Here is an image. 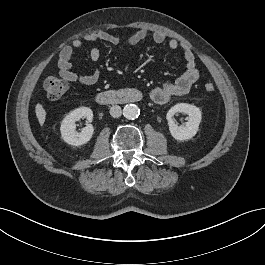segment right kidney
Returning <instances> with one entry per match:
<instances>
[{
	"mask_svg": "<svg viewBox=\"0 0 265 265\" xmlns=\"http://www.w3.org/2000/svg\"><path fill=\"white\" fill-rule=\"evenodd\" d=\"M87 118L89 122L93 119V112L88 107H79L68 113L61 122L60 132L62 139L69 145L80 146L86 144L92 138L94 128L87 124L85 128L78 133L75 122L80 118Z\"/></svg>",
	"mask_w": 265,
	"mask_h": 265,
	"instance_id": "obj_1",
	"label": "right kidney"
}]
</instances>
